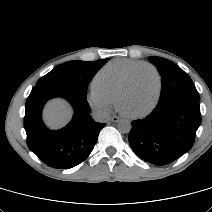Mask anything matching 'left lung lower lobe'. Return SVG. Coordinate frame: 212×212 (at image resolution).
Masks as SVG:
<instances>
[{
	"label": "left lung lower lobe",
	"instance_id": "left-lung-lower-lobe-1",
	"mask_svg": "<svg viewBox=\"0 0 212 212\" xmlns=\"http://www.w3.org/2000/svg\"><path fill=\"white\" fill-rule=\"evenodd\" d=\"M200 123L199 101L172 98L158 103L147 117L132 121L129 144L140 159L166 165L191 149Z\"/></svg>",
	"mask_w": 212,
	"mask_h": 212
}]
</instances>
